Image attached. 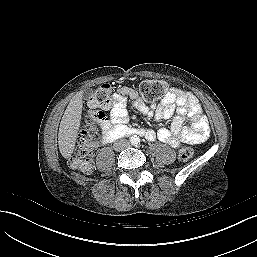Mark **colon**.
I'll return each instance as SVG.
<instances>
[{"label": "colon", "instance_id": "1", "mask_svg": "<svg viewBox=\"0 0 257 257\" xmlns=\"http://www.w3.org/2000/svg\"><path fill=\"white\" fill-rule=\"evenodd\" d=\"M166 84L157 80H146L140 84L139 91L142 98L147 102H155L161 99L166 91ZM114 90L110 85L98 87L88 100L91 114L86 127L84 142L70 158V165L78 170L87 172L92 167L91 156L93 154L92 141L101 125L106 120V115L100 111L109 109L114 100ZM194 155L192 147H184L180 150L179 158L183 161L191 159Z\"/></svg>", "mask_w": 257, "mask_h": 257}]
</instances>
